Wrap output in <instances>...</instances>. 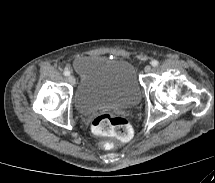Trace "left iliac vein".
Here are the masks:
<instances>
[{
  "mask_svg": "<svg viewBox=\"0 0 215 183\" xmlns=\"http://www.w3.org/2000/svg\"><path fill=\"white\" fill-rule=\"evenodd\" d=\"M144 71H145V73L151 72V66H149V65L145 66Z\"/></svg>",
  "mask_w": 215,
  "mask_h": 183,
  "instance_id": "obj_1",
  "label": "left iliac vein"
}]
</instances>
